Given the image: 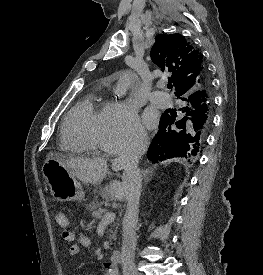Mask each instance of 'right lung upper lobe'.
Returning a JSON list of instances; mask_svg holds the SVG:
<instances>
[{
  "instance_id": "right-lung-upper-lobe-1",
  "label": "right lung upper lobe",
  "mask_w": 263,
  "mask_h": 275,
  "mask_svg": "<svg viewBox=\"0 0 263 275\" xmlns=\"http://www.w3.org/2000/svg\"><path fill=\"white\" fill-rule=\"evenodd\" d=\"M151 60L162 70L172 73L175 95L184 96L207 88L205 113L211 122L213 98L211 84L205 77L206 68L199 52L180 34H160L150 52Z\"/></svg>"
}]
</instances>
